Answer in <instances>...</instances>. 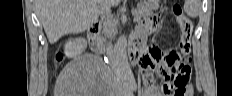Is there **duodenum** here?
<instances>
[{
    "instance_id": "410a0bca",
    "label": "duodenum",
    "mask_w": 232,
    "mask_h": 96,
    "mask_svg": "<svg viewBox=\"0 0 232 96\" xmlns=\"http://www.w3.org/2000/svg\"><path fill=\"white\" fill-rule=\"evenodd\" d=\"M99 31H100L99 24L92 25L88 31V40H89L90 49L93 53L97 55L102 54V43L99 39ZM129 55L131 57L133 64H136L139 57V50L135 45H132L131 48L129 49Z\"/></svg>"
}]
</instances>
